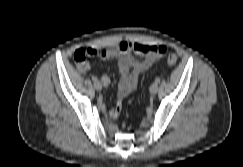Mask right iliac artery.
<instances>
[{"mask_svg": "<svg viewBox=\"0 0 243 167\" xmlns=\"http://www.w3.org/2000/svg\"><path fill=\"white\" fill-rule=\"evenodd\" d=\"M92 80H93L94 83L98 82L97 77H94V76H93V77H92Z\"/></svg>", "mask_w": 243, "mask_h": 167, "instance_id": "82829eb1", "label": "right iliac artery"}]
</instances>
